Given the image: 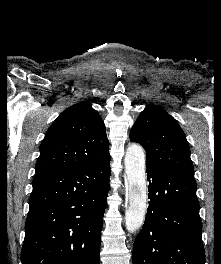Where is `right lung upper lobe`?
I'll return each mask as SVG.
<instances>
[{
	"mask_svg": "<svg viewBox=\"0 0 221 264\" xmlns=\"http://www.w3.org/2000/svg\"><path fill=\"white\" fill-rule=\"evenodd\" d=\"M110 157L105 125L88 102L64 110L40 146L35 177L98 164Z\"/></svg>",
	"mask_w": 221,
	"mask_h": 264,
	"instance_id": "1",
	"label": "right lung upper lobe"
}]
</instances>
